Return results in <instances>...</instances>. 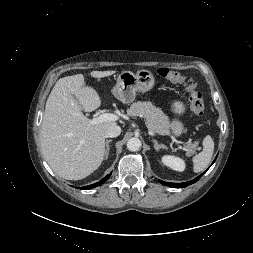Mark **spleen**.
<instances>
[{
  "mask_svg": "<svg viewBox=\"0 0 253 253\" xmlns=\"http://www.w3.org/2000/svg\"><path fill=\"white\" fill-rule=\"evenodd\" d=\"M214 152V141L207 135L203 139V150L193 157V171L195 173L203 171L211 161Z\"/></svg>",
  "mask_w": 253,
  "mask_h": 253,
  "instance_id": "3e777b00",
  "label": "spleen"
}]
</instances>
